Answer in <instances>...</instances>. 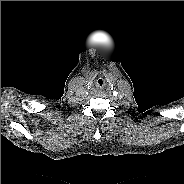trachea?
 <instances>
[{
	"label": "trachea",
	"mask_w": 184,
	"mask_h": 184,
	"mask_svg": "<svg viewBox=\"0 0 184 184\" xmlns=\"http://www.w3.org/2000/svg\"><path fill=\"white\" fill-rule=\"evenodd\" d=\"M105 86V81L103 79H97L94 83L96 89H102Z\"/></svg>",
	"instance_id": "1"
}]
</instances>
